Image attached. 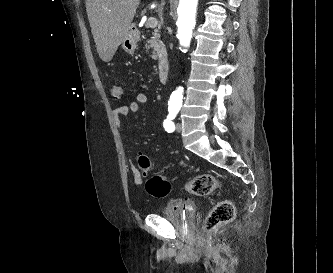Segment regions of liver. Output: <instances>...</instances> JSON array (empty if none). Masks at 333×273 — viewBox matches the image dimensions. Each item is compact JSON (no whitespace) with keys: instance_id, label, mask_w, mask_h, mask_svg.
<instances>
[{"instance_id":"6515ba94","label":"liver","mask_w":333,"mask_h":273,"mask_svg":"<svg viewBox=\"0 0 333 273\" xmlns=\"http://www.w3.org/2000/svg\"><path fill=\"white\" fill-rule=\"evenodd\" d=\"M140 0H86V11L99 57L113 58L129 33Z\"/></svg>"}]
</instances>
